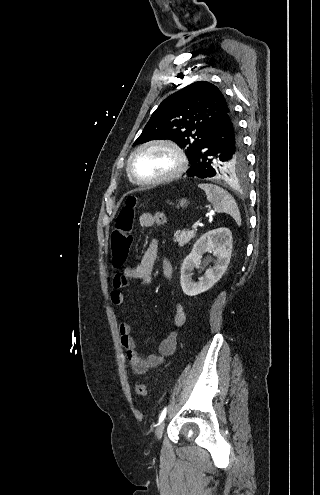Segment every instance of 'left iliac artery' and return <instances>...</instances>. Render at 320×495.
<instances>
[{"mask_svg":"<svg viewBox=\"0 0 320 495\" xmlns=\"http://www.w3.org/2000/svg\"><path fill=\"white\" fill-rule=\"evenodd\" d=\"M166 412H167V407H165L163 409V411L161 412L160 416H159V423L162 422L166 416Z\"/></svg>","mask_w":320,"mask_h":495,"instance_id":"1","label":"left iliac artery"}]
</instances>
